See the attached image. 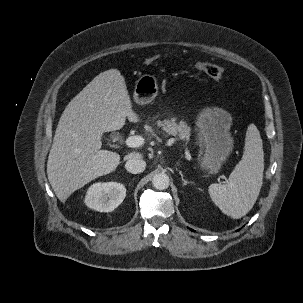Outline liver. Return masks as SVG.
I'll use <instances>...</instances> for the list:
<instances>
[{"mask_svg":"<svg viewBox=\"0 0 303 303\" xmlns=\"http://www.w3.org/2000/svg\"><path fill=\"white\" fill-rule=\"evenodd\" d=\"M137 123L125 80L117 69L97 75L75 96L58 122L48 162V180L64 203L90 181L113 172L118 153L101 150L102 135L121 129L126 121ZM141 157L132 152L125 159Z\"/></svg>","mask_w":303,"mask_h":303,"instance_id":"obj_1","label":"liver"}]
</instances>
